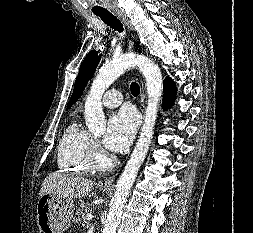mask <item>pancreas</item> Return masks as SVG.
<instances>
[{
  "label": "pancreas",
  "mask_w": 253,
  "mask_h": 233,
  "mask_svg": "<svg viewBox=\"0 0 253 233\" xmlns=\"http://www.w3.org/2000/svg\"><path fill=\"white\" fill-rule=\"evenodd\" d=\"M91 205L88 203H81L79 208L76 211L74 221H80L82 223L86 222V216L91 212Z\"/></svg>",
  "instance_id": "obj_1"
}]
</instances>
